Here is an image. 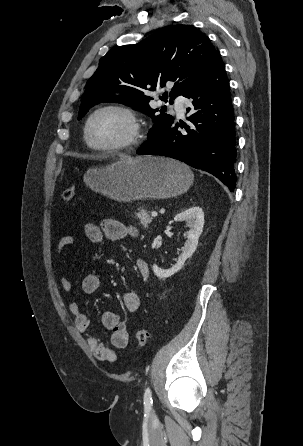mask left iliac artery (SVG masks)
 <instances>
[{"label":"left iliac artery","mask_w":303,"mask_h":446,"mask_svg":"<svg viewBox=\"0 0 303 446\" xmlns=\"http://www.w3.org/2000/svg\"><path fill=\"white\" fill-rule=\"evenodd\" d=\"M152 393L151 389L148 387L144 393V407L145 410L150 411L152 409Z\"/></svg>","instance_id":"left-iliac-artery-1"}]
</instances>
